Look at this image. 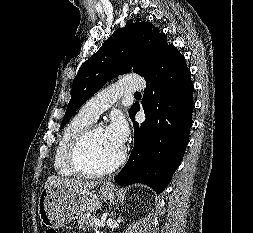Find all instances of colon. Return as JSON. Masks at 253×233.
I'll return each instance as SVG.
<instances>
[{
  "mask_svg": "<svg viewBox=\"0 0 253 233\" xmlns=\"http://www.w3.org/2000/svg\"><path fill=\"white\" fill-rule=\"evenodd\" d=\"M44 233H58L55 229H47Z\"/></svg>",
  "mask_w": 253,
  "mask_h": 233,
  "instance_id": "5ec220e1",
  "label": "colon"
}]
</instances>
